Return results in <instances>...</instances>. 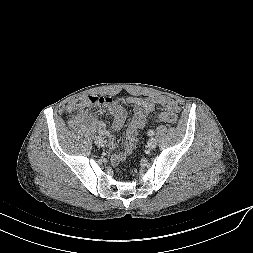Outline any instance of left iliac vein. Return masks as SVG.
<instances>
[{
  "label": "left iliac vein",
  "instance_id": "1",
  "mask_svg": "<svg viewBox=\"0 0 253 253\" xmlns=\"http://www.w3.org/2000/svg\"><path fill=\"white\" fill-rule=\"evenodd\" d=\"M157 145V142H156V139L151 137L149 140H148V143H147V147L149 149H154Z\"/></svg>",
  "mask_w": 253,
  "mask_h": 253
}]
</instances>
